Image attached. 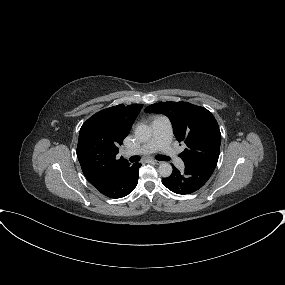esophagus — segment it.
Masks as SVG:
<instances>
[{"mask_svg":"<svg viewBox=\"0 0 285 285\" xmlns=\"http://www.w3.org/2000/svg\"><path fill=\"white\" fill-rule=\"evenodd\" d=\"M152 162H154L155 164H157V165H159V164H161V161H159V160H151Z\"/></svg>","mask_w":285,"mask_h":285,"instance_id":"obj_1","label":"esophagus"}]
</instances>
